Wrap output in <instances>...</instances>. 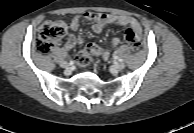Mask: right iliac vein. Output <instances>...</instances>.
<instances>
[{
    "label": "right iliac vein",
    "instance_id": "63e3f726",
    "mask_svg": "<svg viewBox=\"0 0 194 133\" xmlns=\"http://www.w3.org/2000/svg\"><path fill=\"white\" fill-rule=\"evenodd\" d=\"M60 66H61L62 68L68 69L70 65H69L67 62H65V61H61V62H60Z\"/></svg>",
    "mask_w": 194,
    "mask_h": 133
}]
</instances>
